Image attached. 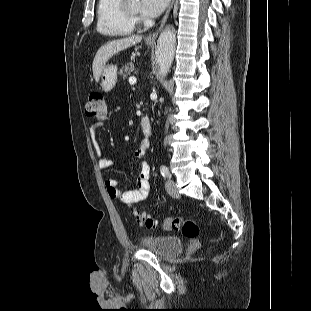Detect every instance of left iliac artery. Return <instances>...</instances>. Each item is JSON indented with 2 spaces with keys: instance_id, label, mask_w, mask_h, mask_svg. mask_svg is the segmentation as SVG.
<instances>
[{
  "instance_id": "obj_1",
  "label": "left iliac artery",
  "mask_w": 311,
  "mask_h": 311,
  "mask_svg": "<svg viewBox=\"0 0 311 311\" xmlns=\"http://www.w3.org/2000/svg\"><path fill=\"white\" fill-rule=\"evenodd\" d=\"M160 172L164 178H167L169 176V170L165 165L161 166Z\"/></svg>"
}]
</instances>
